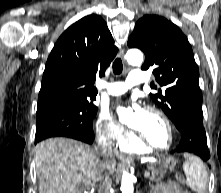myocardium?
I'll return each mask as SVG.
<instances>
[{
    "label": "myocardium",
    "instance_id": "f54148a6",
    "mask_svg": "<svg viewBox=\"0 0 221 193\" xmlns=\"http://www.w3.org/2000/svg\"><path fill=\"white\" fill-rule=\"evenodd\" d=\"M145 110L157 114L164 121V123L167 127V130H168V133H169V143L165 147L156 146V145L152 144L151 142H149L142 133H140L137 130H135L134 128L130 127V130L136 136L134 138L142 146L147 147L148 149H153V150H157V151L169 150L173 146L174 140H175L174 129H173L170 119L167 117V115L162 110H160L159 108H157L155 106H147Z\"/></svg>",
    "mask_w": 221,
    "mask_h": 193
}]
</instances>
